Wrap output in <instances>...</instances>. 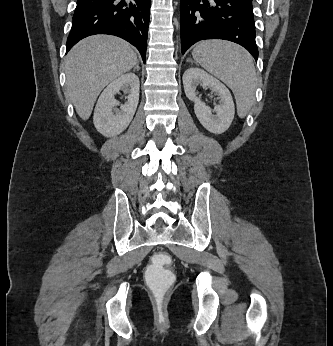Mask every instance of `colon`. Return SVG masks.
I'll use <instances>...</instances> for the list:
<instances>
[{
    "mask_svg": "<svg viewBox=\"0 0 333 346\" xmlns=\"http://www.w3.org/2000/svg\"><path fill=\"white\" fill-rule=\"evenodd\" d=\"M154 264H147V269L144 270L147 287L151 288L153 299H156L155 308L161 310L163 308V299H166L169 289L174 287V273L171 269H166L171 258L166 253H158L153 258Z\"/></svg>",
    "mask_w": 333,
    "mask_h": 346,
    "instance_id": "colon-1",
    "label": "colon"
}]
</instances>
